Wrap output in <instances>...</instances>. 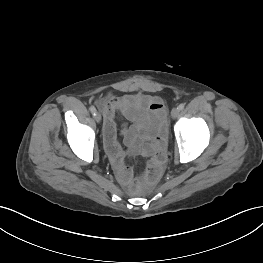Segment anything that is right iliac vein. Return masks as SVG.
I'll list each match as a JSON object with an SVG mask.
<instances>
[{"label": "right iliac vein", "instance_id": "right-iliac-vein-1", "mask_svg": "<svg viewBox=\"0 0 263 263\" xmlns=\"http://www.w3.org/2000/svg\"><path fill=\"white\" fill-rule=\"evenodd\" d=\"M94 118L97 122H100L101 121V114L99 112H96L94 115Z\"/></svg>", "mask_w": 263, "mask_h": 263}]
</instances>
